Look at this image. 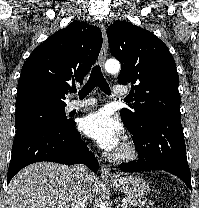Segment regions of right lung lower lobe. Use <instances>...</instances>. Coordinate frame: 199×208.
Here are the masks:
<instances>
[{
  "label": "right lung lower lobe",
  "instance_id": "98d812e1",
  "mask_svg": "<svg viewBox=\"0 0 199 208\" xmlns=\"http://www.w3.org/2000/svg\"><path fill=\"white\" fill-rule=\"evenodd\" d=\"M40 161L66 165L84 163L92 171H98V161L76 131L73 121L60 129L39 124L18 128L12 146L7 183L23 167Z\"/></svg>",
  "mask_w": 199,
  "mask_h": 208
}]
</instances>
